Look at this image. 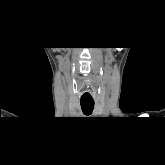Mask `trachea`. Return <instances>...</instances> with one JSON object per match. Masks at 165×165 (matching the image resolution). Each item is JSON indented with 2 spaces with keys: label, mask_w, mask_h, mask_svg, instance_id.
<instances>
[{
  "label": "trachea",
  "mask_w": 165,
  "mask_h": 165,
  "mask_svg": "<svg viewBox=\"0 0 165 165\" xmlns=\"http://www.w3.org/2000/svg\"><path fill=\"white\" fill-rule=\"evenodd\" d=\"M81 108L84 114L89 115L92 113L94 109V101L93 100H82L80 101Z\"/></svg>",
  "instance_id": "trachea-1"
}]
</instances>
